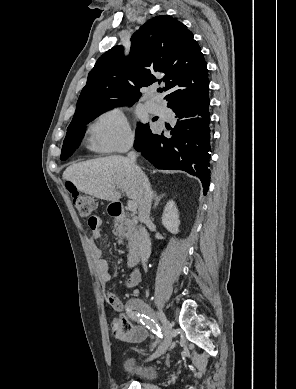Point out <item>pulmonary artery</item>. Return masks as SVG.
<instances>
[{
  "instance_id": "pulmonary-artery-1",
  "label": "pulmonary artery",
  "mask_w": 296,
  "mask_h": 389,
  "mask_svg": "<svg viewBox=\"0 0 296 389\" xmlns=\"http://www.w3.org/2000/svg\"><path fill=\"white\" fill-rule=\"evenodd\" d=\"M147 109L153 114H160L162 112V106L156 99H150L145 103Z\"/></svg>"
}]
</instances>
